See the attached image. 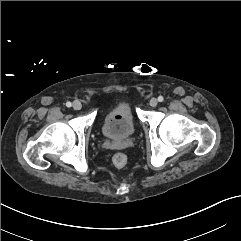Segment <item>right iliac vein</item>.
<instances>
[{"label": "right iliac vein", "mask_w": 241, "mask_h": 241, "mask_svg": "<svg viewBox=\"0 0 241 241\" xmlns=\"http://www.w3.org/2000/svg\"><path fill=\"white\" fill-rule=\"evenodd\" d=\"M82 108V104L80 101H74L73 102V109L76 110V111H79L81 110Z\"/></svg>", "instance_id": "1"}]
</instances>
